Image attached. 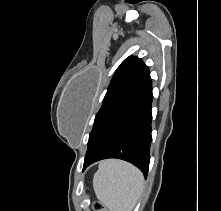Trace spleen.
Wrapping results in <instances>:
<instances>
[{
    "mask_svg": "<svg viewBox=\"0 0 221 211\" xmlns=\"http://www.w3.org/2000/svg\"><path fill=\"white\" fill-rule=\"evenodd\" d=\"M99 201L110 211H132L144 188L140 170L121 160H105L93 178Z\"/></svg>",
    "mask_w": 221,
    "mask_h": 211,
    "instance_id": "obj_1",
    "label": "spleen"
}]
</instances>
